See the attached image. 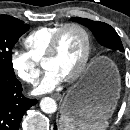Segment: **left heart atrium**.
<instances>
[{
  "label": "left heart atrium",
  "mask_w": 130,
  "mask_h": 130,
  "mask_svg": "<svg viewBox=\"0 0 130 130\" xmlns=\"http://www.w3.org/2000/svg\"><path fill=\"white\" fill-rule=\"evenodd\" d=\"M62 77L53 70H47L45 75L34 89L35 94H44L56 89L62 82Z\"/></svg>",
  "instance_id": "left-heart-atrium-1"
}]
</instances>
